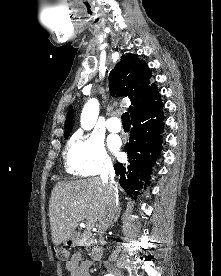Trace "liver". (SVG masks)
Masks as SVG:
<instances>
[{"mask_svg": "<svg viewBox=\"0 0 221 276\" xmlns=\"http://www.w3.org/2000/svg\"><path fill=\"white\" fill-rule=\"evenodd\" d=\"M108 186L98 177L61 181L49 201V218L53 243L58 246L87 219L95 223L101 218L107 200Z\"/></svg>", "mask_w": 221, "mask_h": 276, "instance_id": "6515ba94", "label": "liver"}]
</instances>
